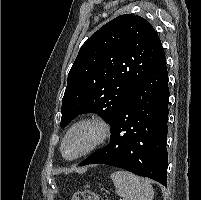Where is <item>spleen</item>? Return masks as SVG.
<instances>
[{"label":"spleen","instance_id":"obj_1","mask_svg":"<svg viewBox=\"0 0 201 200\" xmlns=\"http://www.w3.org/2000/svg\"><path fill=\"white\" fill-rule=\"evenodd\" d=\"M111 179L123 200H153L154 191L147 179L123 170L112 173Z\"/></svg>","mask_w":201,"mask_h":200}]
</instances>
